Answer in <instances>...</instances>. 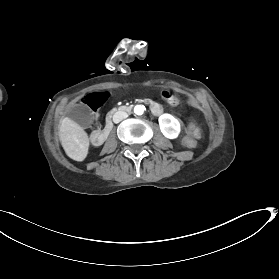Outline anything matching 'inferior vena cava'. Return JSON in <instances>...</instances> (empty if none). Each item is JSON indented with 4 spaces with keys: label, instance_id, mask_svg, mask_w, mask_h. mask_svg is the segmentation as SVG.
Listing matches in <instances>:
<instances>
[{
    "label": "inferior vena cava",
    "instance_id": "inferior-vena-cava-1",
    "mask_svg": "<svg viewBox=\"0 0 279 279\" xmlns=\"http://www.w3.org/2000/svg\"><path fill=\"white\" fill-rule=\"evenodd\" d=\"M127 117H128V115L126 112L118 111L113 116V120L115 123H119L123 118H127Z\"/></svg>",
    "mask_w": 279,
    "mask_h": 279
}]
</instances>
